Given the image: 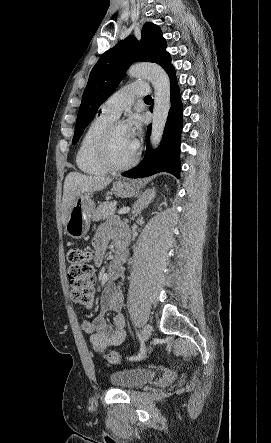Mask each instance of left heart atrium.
Instances as JSON below:
<instances>
[{
	"mask_svg": "<svg viewBox=\"0 0 271 443\" xmlns=\"http://www.w3.org/2000/svg\"><path fill=\"white\" fill-rule=\"evenodd\" d=\"M131 138L134 142V144L138 147L139 145V138H140V129H141V122L139 119H135L131 124L128 125Z\"/></svg>",
	"mask_w": 271,
	"mask_h": 443,
	"instance_id": "39dd6f15",
	"label": "left heart atrium"
}]
</instances>
